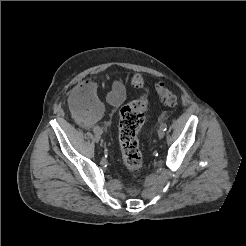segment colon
<instances>
[{"instance_id":"5ec220e1","label":"colon","mask_w":246,"mask_h":246,"mask_svg":"<svg viewBox=\"0 0 246 246\" xmlns=\"http://www.w3.org/2000/svg\"><path fill=\"white\" fill-rule=\"evenodd\" d=\"M132 85L139 89H145L144 77L137 73L133 76ZM155 90L159 99L169 107H175L178 99L163 82L155 84ZM149 100L147 93L140 98L122 107L119 121V143L124 165L131 172L141 169L143 160L139 150L138 133L145 122V112Z\"/></svg>"}]
</instances>
